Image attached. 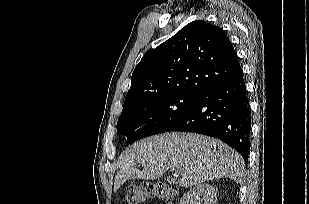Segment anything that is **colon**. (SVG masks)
<instances>
[{
    "mask_svg": "<svg viewBox=\"0 0 309 204\" xmlns=\"http://www.w3.org/2000/svg\"><path fill=\"white\" fill-rule=\"evenodd\" d=\"M177 190L163 181L143 182L139 185L129 186L124 195L125 204H141L153 198L171 202Z\"/></svg>",
    "mask_w": 309,
    "mask_h": 204,
    "instance_id": "5ec220e1",
    "label": "colon"
}]
</instances>
